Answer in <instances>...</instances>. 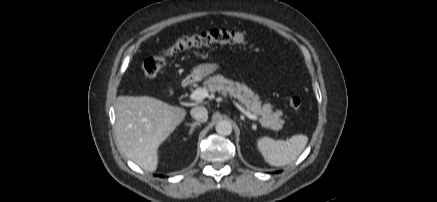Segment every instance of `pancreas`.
Instances as JSON below:
<instances>
[{
	"label": "pancreas",
	"instance_id": "cf45deb5",
	"mask_svg": "<svg viewBox=\"0 0 437 202\" xmlns=\"http://www.w3.org/2000/svg\"><path fill=\"white\" fill-rule=\"evenodd\" d=\"M204 86L210 92H219L224 96L229 95L237 99L245 105L247 111L260 117V122L265 128L275 131L282 128L284 120L280 117L283 115V112L281 110L274 112L270 103L263 104L259 96L248 88L246 84L233 82L222 75H214L205 80Z\"/></svg>",
	"mask_w": 437,
	"mask_h": 202
}]
</instances>
